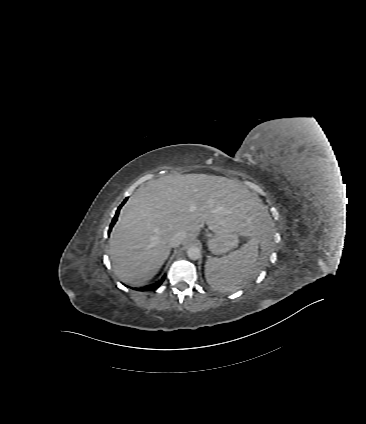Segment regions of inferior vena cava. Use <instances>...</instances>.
I'll return each instance as SVG.
<instances>
[{
    "label": "inferior vena cava",
    "mask_w": 366,
    "mask_h": 424,
    "mask_svg": "<svg viewBox=\"0 0 366 424\" xmlns=\"http://www.w3.org/2000/svg\"><path fill=\"white\" fill-rule=\"evenodd\" d=\"M185 232L183 231H179L177 233H175L174 235L171 236L170 240H169V245L171 247H178L182 241L185 238Z\"/></svg>",
    "instance_id": "1"
}]
</instances>
